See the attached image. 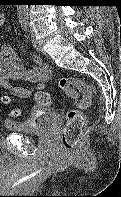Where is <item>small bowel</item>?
Segmentation results:
<instances>
[{"label":"small bowel","mask_w":121,"mask_h":197,"mask_svg":"<svg viewBox=\"0 0 121 197\" xmlns=\"http://www.w3.org/2000/svg\"><path fill=\"white\" fill-rule=\"evenodd\" d=\"M3 23L4 15L0 12V26ZM31 61L34 67L26 69L20 56L10 46H2L0 48V86L10 89L9 80H22L33 84L32 87L22 89V93H16L23 98L32 96L35 91L43 90L45 84L51 79V69L37 55H33Z\"/></svg>","instance_id":"obj_1"}]
</instances>
